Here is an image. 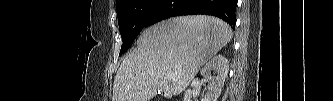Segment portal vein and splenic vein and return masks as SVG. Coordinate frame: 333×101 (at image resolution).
I'll return each mask as SVG.
<instances>
[{"label": "portal vein and splenic vein", "mask_w": 333, "mask_h": 101, "mask_svg": "<svg viewBox=\"0 0 333 101\" xmlns=\"http://www.w3.org/2000/svg\"><path fill=\"white\" fill-rule=\"evenodd\" d=\"M166 79H167V80H171V79H173V76H172V75H167V76H166Z\"/></svg>", "instance_id": "18ae733b"}]
</instances>
